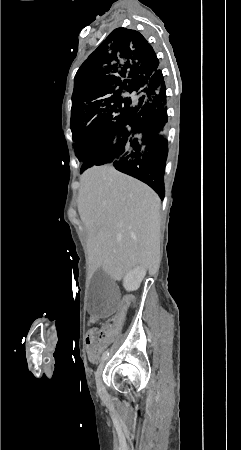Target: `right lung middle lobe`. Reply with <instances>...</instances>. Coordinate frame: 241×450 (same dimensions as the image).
<instances>
[{
	"label": "right lung middle lobe",
	"mask_w": 241,
	"mask_h": 450,
	"mask_svg": "<svg viewBox=\"0 0 241 450\" xmlns=\"http://www.w3.org/2000/svg\"><path fill=\"white\" fill-rule=\"evenodd\" d=\"M72 95L71 129L73 138L82 128L89 130L92 137L90 148L119 126L134 120L143 113L145 100L142 97L128 96L112 85L74 80ZM144 140L141 134H134L125 140L117 141L108 149L107 157L98 162H89L88 156L76 155L83 162L81 173L94 166L112 164L129 153Z\"/></svg>",
	"instance_id": "1"
}]
</instances>
